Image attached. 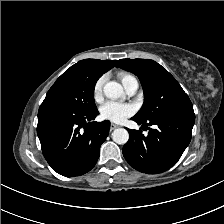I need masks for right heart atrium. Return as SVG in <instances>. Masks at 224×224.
<instances>
[{
    "mask_svg": "<svg viewBox=\"0 0 224 224\" xmlns=\"http://www.w3.org/2000/svg\"><path fill=\"white\" fill-rule=\"evenodd\" d=\"M105 82V77L101 76L97 79L93 86V97L96 101H99L102 98V89Z\"/></svg>",
    "mask_w": 224,
    "mask_h": 224,
    "instance_id": "1",
    "label": "right heart atrium"
}]
</instances>
